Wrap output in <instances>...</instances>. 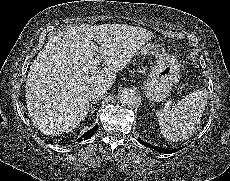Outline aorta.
<instances>
[{
	"instance_id": "762f6f07",
	"label": "aorta",
	"mask_w": 230,
	"mask_h": 181,
	"mask_svg": "<svg viewBox=\"0 0 230 181\" xmlns=\"http://www.w3.org/2000/svg\"><path fill=\"white\" fill-rule=\"evenodd\" d=\"M120 102L123 106L134 108L140 105V98L133 90H125L120 95Z\"/></svg>"
}]
</instances>
